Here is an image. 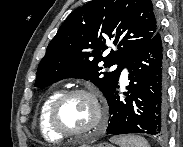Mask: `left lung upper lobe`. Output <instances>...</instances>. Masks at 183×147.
<instances>
[{
    "label": "left lung upper lobe",
    "instance_id": "5c2ea615",
    "mask_svg": "<svg viewBox=\"0 0 183 147\" xmlns=\"http://www.w3.org/2000/svg\"><path fill=\"white\" fill-rule=\"evenodd\" d=\"M159 30L151 0H93L74 10L41 60L35 87L65 78L93 82L109 98L125 61ZM107 43L116 50L103 57ZM117 64L116 70L103 69Z\"/></svg>",
    "mask_w": 183,
    "mask_h": 147
}]
</instances>
